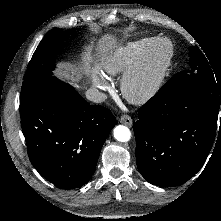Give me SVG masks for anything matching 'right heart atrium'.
Segmentation results:
<instances>
[{"mask_svg": "<svg viewBox=\"0 0 221 221\" xmlns=\"http://www.w3.org/2000/svg\"><path fill=\"white\" fill-rule=\"evenodd\" d=\"M94 86L97 87L98 89H101V90L108 89L106 82L101 77H97L94 79Z\"/></svg>", "mask_w": 221, "mask_h": 221, "instance_id": "d8ad5b80", "label": "right heart atrium"}]
</instances>
